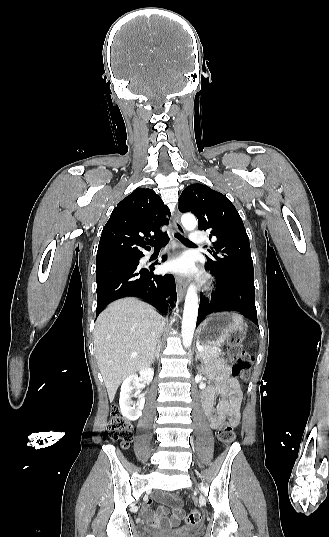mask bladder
I'll return each mask as SVG.
<instances>
[{"label": "bladder", "mask_w": 329, "mask_h": 537, "mask_svg": "<svg viewBox=\"0 0 329 537\" xmlns=\"http://www.w3.org/2000/svg\"><path fill=\"white\" fill-rule=\"evenodd\" d=\"M195 533V530L193 528H186L180 531V537H190L191 534ZM148 537H164L162 534L158 532H149Z\"/></svg>", "instance_id": "bladder-1"}]
</instances>
